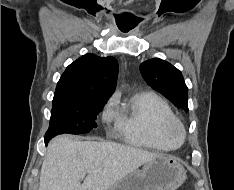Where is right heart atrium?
I'll list each match as a JSON object with an SVG mask.
<instances>
[{"label":"right heart atrium","mask_w":234,"mask_h":190,"mask_svg":"<svg viewBox=\"0 0 234 190\" xmlns=\"http://www.w3.org/2000/svg\"><path fill=\"white\" fill-rule=\"evenodd\" d=\"M114 97L110 98L103 107L102 110V121L104 123H109L115 119V109H114Z\"/></svg>","instance_id":"right-heart-atrium-1"}]
</instances>
